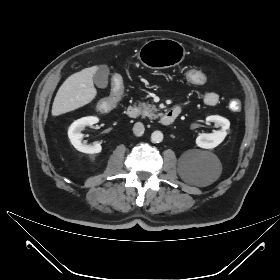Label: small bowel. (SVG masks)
<instances>
[{
    "label": "small bowel",
    "mask_w": 280,
    "mask_h": 280,
    "mask_svg": "<svg viewBox=\"0 0 280 280\" xmlns=\"http://www.w3.org/2000/svg\"><path fill=\"white\" fill-rule=\"evenodd\" d=\"M219 101V96L215 92H206L203 95V103L206 106H215Z\"/></svg>",
    "instance_id": "1"
}]
</instances>
